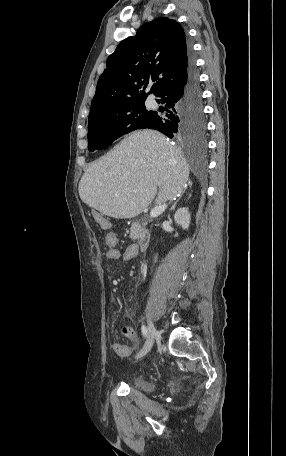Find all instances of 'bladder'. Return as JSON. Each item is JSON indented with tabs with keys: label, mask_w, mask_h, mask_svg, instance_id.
Returning <instances> with one entry per match:
<instances>
[{
	"label": "bladder",
	"mask_w": 286,
	"mask_h": 456,
	"mask_svg": "<svg viewBox=\"0 0 286 456\" xmlns=\"http://www.w3.org/2000/svg\"><path fill=\"white\" fill-rule=\"evenodd\" d=\"M131 384L140 388L145 393H151L154 391V384L143 376L132 378Z\"/></svg>",
	"instance_id": "1"
}]
</instances>
